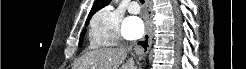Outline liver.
I'll return each mask as SVG.
<instances>
[{"label": "liver", "instance_id": "liver-1", "mask_svg": "<svg viewBox=\"0 0 246 69\" xmlns=\"http://www.w3.org/2000/svg\"><path fill=\"white\" fill-rule=\"evenodd\" d=\"M126 50L122 48H101L83 55L76 69H118L127 57ZM121 69H136L133 59H129Z\"/></svg>", "mask_w": 246, "mask_h": 69}]
</instances>
